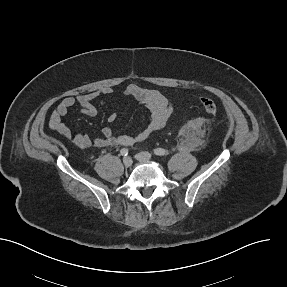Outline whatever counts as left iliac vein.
I'll list each match as a JSON object with an SVG mask.
<instances>
[{
    "mask_svg": "<svg viewBox=\"0 0 287 287\" xmlns=\"http://www.w3.org/2000/svg\"><path fill=\"white\" fill-rule=\"evenodd\" d=\"M135 158L140 162H149L151 160V154L148 152H140L135 155Z\"/></svg>",
    "mask_w": 287,
    "mask_h": 287,
    "instance_id": "1",
    "label": "left iliac vein"
}]
</instances>
